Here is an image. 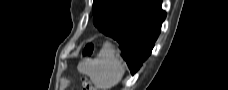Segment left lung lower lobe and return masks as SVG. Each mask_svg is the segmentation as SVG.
Segmentation results:
<instances>
[{
  "mask_svg": "<svg viewBox=\"0 0 228 90\" xmlns=\"http://www.w3.org/2000/svg\"><path fill=\"white\" fill-rule=\"evenodd\" d=\"M131 7L102 33L119 43L122 57L134 74L151 54L166 13L160 0H133Z\"/></svg>",
  "mask_w": 228,
  "mask_h": 90,
  "instance_id": "0a47b994",
  "label": "left lung lower lobe"
}]
</instances>
